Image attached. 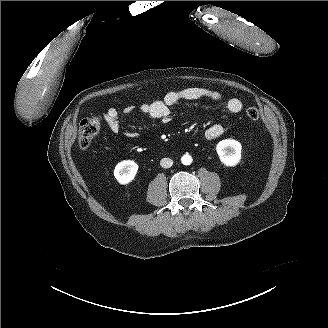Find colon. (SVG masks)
<instances>
[{
    "label": "colon",
    "instance_id": "colon-1",
    "mask_svg": "<svg viewBox=\"0 0 328 328\" xmlns=\"http://www.w3.org/2000/svg\"><path fill=\"white\" fill-rule=\"evenodd\" d=\"M246 116L252 120L256 121L260 117V113L257 108L250 107L246 110ZM100 130V122L95 117H87L81 120L79 125V146L82 149H87L96 135Z\"/></svg>",
    "mask_w": 328,
    "mask_h": 328
}]
</instances>
